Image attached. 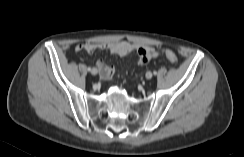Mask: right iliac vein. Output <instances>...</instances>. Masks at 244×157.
<instances>
[{
	"label": "right iliac vein",
	"mask_w": 244,
	"mask_h": 157,
	"mask_svg": "<svg viewBox=\"0 0 244 157\" xmlns=\"http://www.w3.org/2000/svg\"><path fill=\"white\" fill-rule=\"evenodd\" d=\"M91 74L94 75V76L97 75V69L93 68L92 71H91Z\"/></svg>",
	"instance_id": "right-iliac-vein-1"
}]
</instances>
